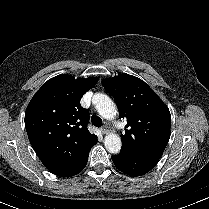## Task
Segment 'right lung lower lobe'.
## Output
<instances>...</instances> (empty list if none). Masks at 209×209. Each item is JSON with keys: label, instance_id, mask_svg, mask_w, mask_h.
<instances>
[{"label": "right lung lower lobe", "instance_id": "obj_1", "mask_svg": "<svg viewBox=\"0 0 209 209\" xmlns=\"http://www.w3.org/2000/svg\"><path fill=\"white\" fill-rule=\"evenodd\" d=\"M88 156H89V152L85 154L82 160L73 169H71L64 177H70L80 173L87 164Z\"/></svg>", "mask_w": 209, "mask_h": 209}]
</instances>
